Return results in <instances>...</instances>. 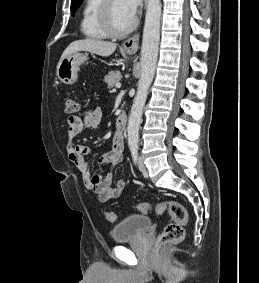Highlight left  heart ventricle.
Instances as JSON below:
<instances>
[{"mask_svg":"<svg viewBox=\"0 0 259 283\" xmlns=\"http://www.w3.org/2000/svg\"><path fill=\"white\" fill-rule=\"evenodd\" d=\"M112 19L118 30L127 28L133 18L125 11L122 0H112Z\"/></svg>","mask_w":259,"mask_h":283,"instance_id":"b2bd125f","label":"left heart ventricle"}]
</instances>
